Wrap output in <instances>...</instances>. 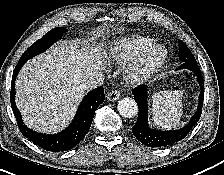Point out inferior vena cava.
<instances>
[{"label": "inferior vena cava", "mask_w": 224, "mask_h": 175, "mask_svg": "<svg viewBox=\"0 0 224 175\" xmlns=\"http://www.w3.org/2000/svg\"><path fill=\"white\" fill-rule=\"evenodd\" d=\"M103 82H104L103 75L100 73H94L81 85V88L84 90H90L98 86H101Z\"/></svg>", "instance_id": "1"}]
</instances>
